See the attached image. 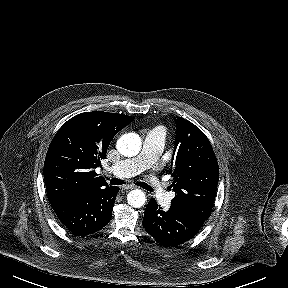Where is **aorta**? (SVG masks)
Masks as SVG:
<instances>
[{
  "label": "aorta",
  "mask_w": 288,
  "mask_h": 288,
  "mask_svg": "<svg viewBox=\"0 0 288 288\" xmlns=\"http://www.w3.org/2000/svg\"><path fill=\"white\" fill-rule=\"evenodd\" d=\"M141 144L139 135L136 133H128L119 138L117 141V149L122 155L132 157L139 153ZM127 201L130 206L140 208L146 202V195L142 190L135 189L128 193Z\"/></svg>",
  "instance_id": "762f6f07"
}]
</instances>
